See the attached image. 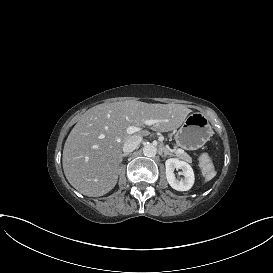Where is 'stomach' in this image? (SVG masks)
Returning <instances> with one entry per match:
<instances>
[{
    "instance_id": "1",
    "label": "stomach",
    "mask_w": 273,
    "mask_h": 273,
    "mask_svg": "<svg viewBox=\"0 0 273 273\" xmlns=\"http://www.w3.org/2000/svg\"><path fill=\"white\" fill-rule=\"evenodd\" d=\"M213 135L208 118L201 112L186 117L174 138L177 146L185 150H197L205 145Z\"/></svg>"
}]
</instances>
